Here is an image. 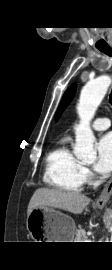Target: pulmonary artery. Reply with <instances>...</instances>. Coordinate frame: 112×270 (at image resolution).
<instances>
[{
  "mask_svg": "<svg viewBox=\"0 0 112 270\" xmlns=\"http://www.w3.org/2000/svg\"><path fill=\"white\" fill-rule=\"evenodd\" d=\"M111 122L108 118H97L92 123V128L98 131L106 130L110 127Z\"/></svg>",
  "mask_w": 112,
  "mask_h": 270,
  "instance_id": "e3ab8cb5",
  "label": "pulmonary artery"
}]
</instances>
